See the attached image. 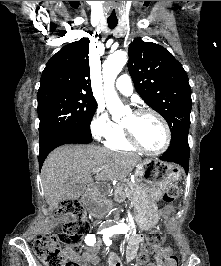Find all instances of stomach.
<instances>
[{
    "label": "stomach",
    "mask_w": 221,
    "mask_h": 266,
    "mask_svg": "<svg viewBox=\"0 0 221 266\" xmlns=\"http://www.w3.org/2000/svg\"><path fill=\"white\" fill-rule=\"evenodd\" d=\"M180 169L159 159L142 160L135 170L134 191L131 202L139 214V220L148 224L158 218L155 201L159 200L167 187L180 178Z\"/></svg>",
    "instance_id": "obj_1"
}]
</instances>
